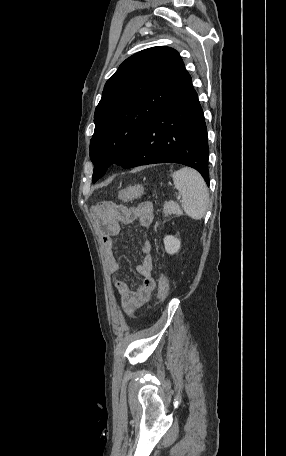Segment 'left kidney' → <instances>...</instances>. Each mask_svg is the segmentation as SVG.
Masks as SVG:
<instances>
[{
    "label": "left kidney",
    "instance_id": "1",
    "mask_svg": "<svg viewBox=\"0 0 286 456\" xmlns=\"http://www.w3.org/2000/svg\"><path fill=\"white\" fill-rule=\"evenodd\" d=\"M165 250L168 254L173 255L180 249L181 242L172 235H167L164 238Z\"/></svg>",
    "mask_w": 286,
    "mask_h": 456
}]
</instances>
